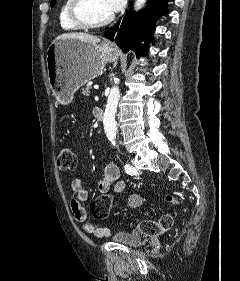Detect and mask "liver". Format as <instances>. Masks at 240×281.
Returning a JSON list of instances; mask_svg holds the SVG:
<instances>
[{
    "label": "liver",
    "instance_id": "6515ba94",
    "mask_svg": "<svg viewBox=\"0 0 240 281\" xmlns=\"http://www.w3.org/2000/svg\"><path fill=\"white\" fill-rule=\"evenodd\" d=\"M58 39H78V40L92 43V44H97L100 42V38H98L94 35H90L87 33H81V32L65 33V34L57 36L55 40H58Z\"/></svg>",
    "mask_w": 240,
    "mask_h": 281
}]
</instances>
